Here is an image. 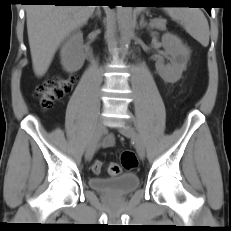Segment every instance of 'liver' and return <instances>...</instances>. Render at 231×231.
Returning a JSON list of instances; mask_svg holds the SVG:
<instances>
[{
	"label": "liver",
	"instance_id": "6515ba94",
	"mask_svg": "<svg viewBox=\"0 0 231 231\" xmlns=\"http://www.w3.org/2000/svg\"><path fill=\"white\" fill-rule=\"evenodd\" d=\"M95 7L88 5H28L27 31L33 70L43 76L62 40L84 25Z\"/></svg>",
	"mask_w": 231,
	"mask_h": 231
}]
</instances>
